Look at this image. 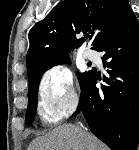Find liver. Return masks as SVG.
Here are the masks:
<instances>
[{
  "label": "liver",
  "mask_w": 139,
  "mask_h": 150,
  "mask_svg": "<svg viewBox=\"0 0 139 150\" xmlns=\"http://www.w3.org/2000/svg\"><path fill=\"white\" fill-rule=\"evenodd\" d=\"M28 150H107V147L81 127L64 124L37 137Z\"/></svg>",
  "instance_id": "6515ba94"
}]
</instances>
